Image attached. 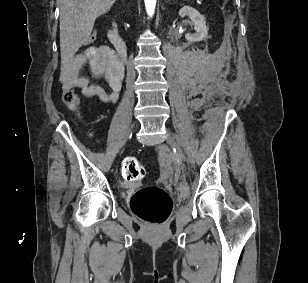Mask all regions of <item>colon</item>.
Instances as JSON below:
<instances>
[{
    "instance_id": "obj_1",
    "label": "colon",
    "mask_w": 308,
    "mask_h": 283,
    "mask_svg": "<svg viewBox=\"0 0 308 283\" xmlns=\"http://www.w3.org/2000/svg\"><path fill=\"white\" fill-rule=\"evenodd\" d=\"M96 37V32H93L87 40L88 43H93ZM62 99L65 105L73 110L77 109L80 104V97L73 89L64 90ZM121 173L125 180L136 181L144 176L145 169L137 158L127 157L122 162ZM130 205L139 218L153 224L164 223L172 210L171 197L157 186L139 188L133 194Z\"/></svg>"
}]
</instances>
